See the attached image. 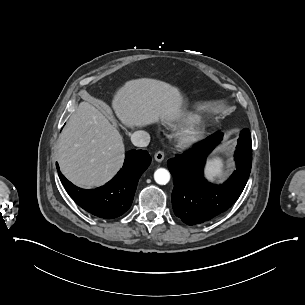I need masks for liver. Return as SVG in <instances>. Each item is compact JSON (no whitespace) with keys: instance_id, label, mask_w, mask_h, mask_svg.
<instances>
[{"instance_id":"liver-1","label":"liver","mask_w":305,"mask_h":305,"mask_svg":"<svg viewBox=\"0 0 305 305\" xmlns=\"http://www.w3.org/2000/svg\"><path fill=\"white\" fill-rule=\"evenodd\" d=\"M183 97L168 83L130 80L114 95L112 108L129 127L175 121L183 113ZM124 144L119 131L93 105L81 102L63 129L58 162L65 177L81 188L104 185L122 167Z\"/></svg>"}]
</instances>
